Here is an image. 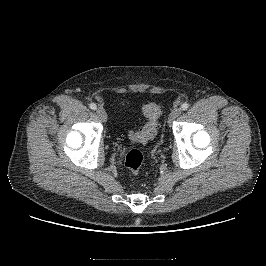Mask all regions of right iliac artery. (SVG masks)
<instances>
[{
  "mask_svg": "<svg viewBox=\"0 0 266 266\" xmlns=\"http://www.w3.org/2000/svg\"><path fill=\"white\" fill-rule=\"evenodd\" d=\"M89 107L92 109V110H95L97 108L96 104L95 103H91L89 105Z\"/></svg>",
  "mask_w": 266,
  "mask_h": 266,
  "instance_id": "obj_1",
  "label": "right iliac artery"
}]
</instances>
